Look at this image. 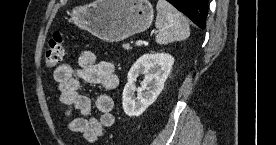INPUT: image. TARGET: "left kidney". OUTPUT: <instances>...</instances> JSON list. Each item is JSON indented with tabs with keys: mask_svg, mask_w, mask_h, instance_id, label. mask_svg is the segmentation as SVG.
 I'll return each mask as SVG.
<instances>
[{
	"mask_svg": "<svg viewBox=\"0 0 276 145\" xmlns=\"http://www.w3.org/2000/svg\"><path fill=\"white\" fill-rule=\"evenodd\" d=\"M173 63L174 58L167 53H150L144 54L132 65L122 95L126 115L140 116L157 99ZM140 74L144 75V79L141 87L136 88L135 82Z\"/></svg>",
	"mask_w": 276,
	"mask_h": 145,
	"instance_id": "5707ae66",
	"label": "left kidney"
}]
</instances>
